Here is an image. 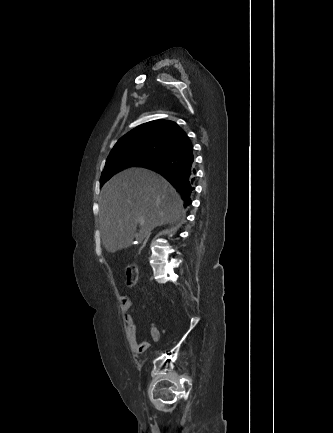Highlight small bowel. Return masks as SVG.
Returning <instances> with one entry per match:
<instances>
[{
    "mask_svg": "<svg viewBox=\"0 0 333 433\" xmlns=\"http://www.w3.org/2000/svg\"><path fill=\"white\" fill-rule=\"evenodd\" d=\"M120 308L127 324L128 341L133 352L143 354L150 348V343L146 339L140 338L138 335L137 326L133 317L132 299L129 296H122L120 299ZM151 338L154 342H158L161 338V333L156 326L152 325L150 330Z\"/></svg>",
    "mask_w": 333,
    "mask_h": 433,
    "instance_id": "small-bowel-1",
    "label": "small bowel"
}]
</instances>
